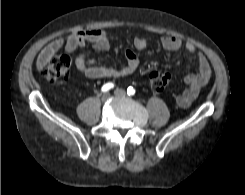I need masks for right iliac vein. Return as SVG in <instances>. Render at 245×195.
<instances>
[{
	"label": "right iliac vein",
	"mask_w": 245,
	"mask_h": 195,
	"mask_svg": "<svg viewBox=\"0 0 245 195\" xmlns=\"http://www.w3.org/2000/svg\"><path fill=\"white\" fill-rule=\"evenodd\" d=\"M109 97H110V94H109V93L103 94V95H102V98H101L102 102H106V101L108 100Z\"/></svg>",
	"instance_id": "1"
}]
</instances>
